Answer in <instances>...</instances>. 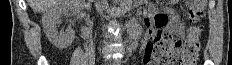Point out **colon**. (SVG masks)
I'll list each match as a JSON object with an SVG mask.
<instances>
[{
    "instance_id": "5ec220e1",
    "label": "colon",
    "mask_w": 232,
    "mask_h": 65,
    "mask_svg": "<svg viewBox=\"0 0 232 65\" xmlns=\"http://www.w3.org/2000/svg\"><path fill=\"white\" fill-rule=\"evenodd\" d=\"M174 2V0L170 1ZM206 0H188L189 20L193 24L185 41L173 40L171 37H160L155 46V57L159 62L178 60L179 65H194L200 50L201 27L197 23L203 18Z\"/></svg>"
}]
</instances>
